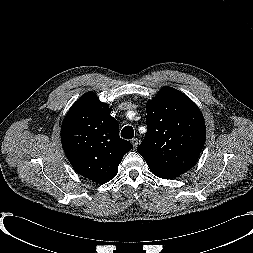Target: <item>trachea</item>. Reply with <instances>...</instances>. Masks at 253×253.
Listing matches in <instances>:
<instances>
[{
  "label": "trachea",
  "mask_w": 253,
  "mask_h": 253,
  "mask_svg": "<svg viewBox=\"0 0 253 253\" xmlns=\"http://www.w3.org/2000/svg\"><path fill=\"white\" fill-rule=\"evenodd\" d=\"M121 136L124 139H132L134 136V130L131 126H125L121 131Z\"/></svg>",
  "instance_id": "3493384b"
}]
</instances>
